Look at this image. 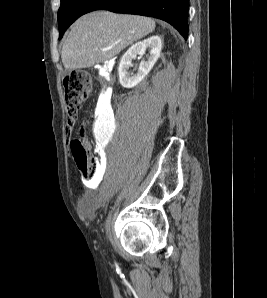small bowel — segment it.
Instances as JSON below:
<instances>
[{
	"label": "small bowel",
	"instance_id": "small-bowel-1",
	"mask_svg": "<svg viewBox=\"0 0 267 298\" xmlns=\"http://www.w3.org/2000/svg\"><path fill=\"white\" fill-rule=\"evenodd\" d=\"M89 192L84 193L79 199V208L85 217H92L97 207L104 201L105 196L88 187Z\"/></svg>",
	"mask_w": 267,
	"mask_h": 298
}]
</instances>
